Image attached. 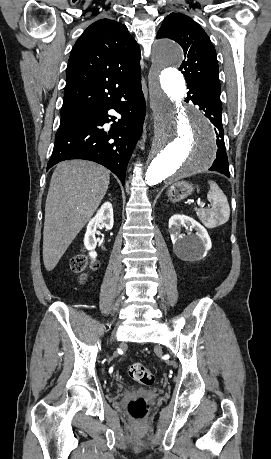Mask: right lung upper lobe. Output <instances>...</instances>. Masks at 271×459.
<instances>
[{"label": "right lung upper lobe", "mask_w": 271, "mask_h": 459, "mask_svg": "<svg viewBox=\"0 0 271 459\" xmlns=\"http://www.w3.org/2000/svg\"><path fill=\"white\" fill-rule=\"evenodd\" d=\"M140 49L127 27L101 19L76 41L69 57L61 113L91 108L96 100L141 78Z\"/></svg>", "instance_id": "cb5924a9"}]
</instances>
